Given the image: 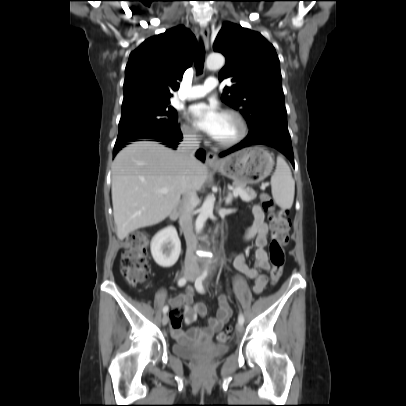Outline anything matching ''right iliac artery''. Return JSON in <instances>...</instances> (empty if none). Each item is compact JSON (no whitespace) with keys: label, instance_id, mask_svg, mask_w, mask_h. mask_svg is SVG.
<instances>
[{"label":"right iliac artery","instance_id":"obj_1","mask_svg":"<svg viewBox=\"0 0 406 406\" xmlns=\"http://www.w3.org/2000/svg\"><path fill=\"white\" fill-rule=\"evenodd\" d=\"M187 283V278H185V277H182V278H180L179 280H178V286H180V287H182V286H184L185 284ZM168 306L166 305V306H164L163 307V314H166L167 312H168Z\"/></svg>","mask_w":406,"mask_h":406}]
</instances>
